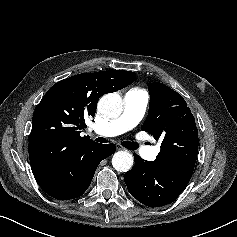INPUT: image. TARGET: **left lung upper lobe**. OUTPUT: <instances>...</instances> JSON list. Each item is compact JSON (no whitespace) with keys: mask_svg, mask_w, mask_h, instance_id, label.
<instances>
[{"mask_svg":"<svg viewBox=\"0 0 237 237\" xmlns=\"http://www.w3.org/2000/svg\"><path fill=\"white\" fill-rule=\"evenodd\" d=\"M149 92V114L142 130L162 141L156 161L173 168L193 170L198 152V131L186 101L158 82L149 85Z\"/></svg>","mask_w":237,"mask_h":237,"instance_id":"5c2ea615","label":"left lung upper lobe"}]
</instances>
